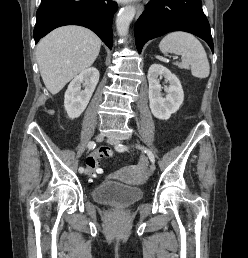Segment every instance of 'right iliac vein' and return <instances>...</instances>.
<instances>
[{"mask_svg":"<svg viewBox=\"0 0 248 258\" xmlns=\"http://www.w3.org/2000/svg\"><path fill=\"white\" fill-rule=\"evenodd\" d=\"M105 138V134L104 133H99L97 136H96V141L97 142H102ZM84 174H89V170L88 169H85L84 171Z\"/></svg>","mask_w":248,"mask_h":258,"instance_id":"obj_1","label":"right iliac vein"}]
</instances>
